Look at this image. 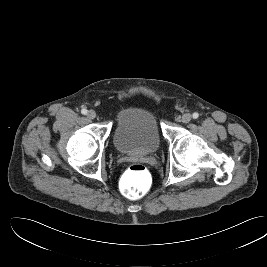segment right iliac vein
<instances>
[{
  "mask_svg": "<svg viewBox=\"0 0 267 267\" xmlns=\"http://www.w3.org/2000/svg\"><path fill=\"white\" fill-rule=\"evenodd\" d=\"M87 117H88L89 119H95V118H96V112H95L94 110H89V111L87 112Z\"/></svg>",
  "mask_w": 267,
  "mask_h": 267,
  "instance_id": "1",
  "label": "right iliac vein"
}]
</instances>
